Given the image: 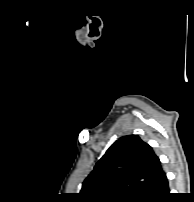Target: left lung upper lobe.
I'll use <instances>...</instances> for the list:
<instances>
[{"label":"left lung upper lobe","mask_w":194,"mask_h":202,"mask_svg":"<svg viewBox=\"0 0 194 202\" xmlns=\"http://www.w3.org/2000/svg\"><path fill=\"white\" fill-rule=\"evenodd\" d=\"M164 174L147 143L124 136L97 162L79 196L84 202H152Z\"/></svg>","instance_id":"obj_1"}]
</instances>
